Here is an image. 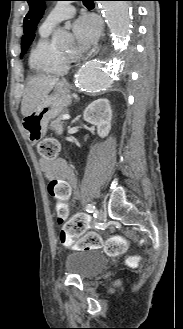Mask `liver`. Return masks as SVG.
Here are the masks:
<instances>
[{
    "instance_id": "liver-1",
    "label": "liver",
    "mask_w": 183,
    "mask_h": 329,
    "mask_svg": "<svg viewBox=\"0 0 183 329\" xmlns=\"http://www.w3.org/2000/svg\"><path fill=\"white\" fill-rule=\"evenodd\" d=\"M58 83L57 78L37 76L31 78L24 90L21 104V113L24 117L29 115L35 107L50 93Z\"/></svg>"
}]
</instances>
